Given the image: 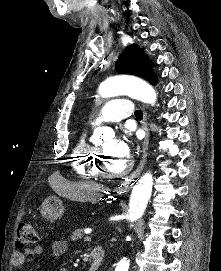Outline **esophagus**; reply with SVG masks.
<instances>
[{"instance_id":"obj_1","label":"esophagus","mask_w":221,"mask_h":271,"mask_svg":"<svg viewBox=\"0 0 221 271\" xmlns=\"http://www.w3.org/2000/svg\"><path fill=\"white\" fill-rule=\"evenodd\" d=\"M141 124H142L143 129L145 130V138L142 145V158H141L138 168L135 171H133V173H131L125 181L122 182L120 189L124 191H128L130 189L133 180H135L140 175L145 165V162L147 160V150H148L150 135H149V128L147 126L146 113H144ZM120 189L117 188L116 190H120Z\"/></svg>"}]
</instances>
